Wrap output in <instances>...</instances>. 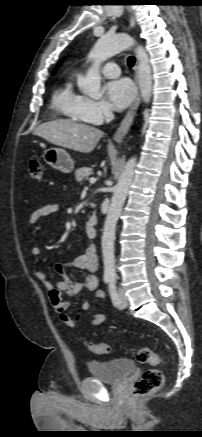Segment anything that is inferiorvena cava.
I'll return each instance as SVG.
<instances>
[{
  "label": "inferior vena cava",
  "mask_w": 202,
  "mask_h": 437,
  "mask_svg": "<svg viewBox=\"0 0 202 437\" xmlns=\"http://www.w3.org/2000/svg\"><path fill=\"white\" fill-rule=\"evenodd\" d=\"M104 114H105L106 122H110L114 117V115L110 109H106Z\"/></svg>",
  "instance_id": "obj_1"
}]
</instances>
